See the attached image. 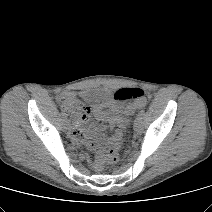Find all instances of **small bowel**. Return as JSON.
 Instances as JSON below:
<instances>
[{"mask_svg": "<svg viewBox=\"0 0 212 212\" xmlns=\"http://www.w3.org/2000/svg\"><path fill=\"white\" fill-rule=\"evenodd\" d=\"M72 96V95H71ZM79 96L91 104L88 107V113L85 116L75 118L74 127L71 130L72 138L77 142H87L92 149H99L101 138H98L100 132L105 129L104 125H94L89 123V116L92 113L97 120L113 125L123 111H131V107H125L115 102L108 91H82Z\"/></svg>", "mask_w": 212, "mask_h": 212, "instance_id": "1", "label": "small bowel"}]
</instances>
